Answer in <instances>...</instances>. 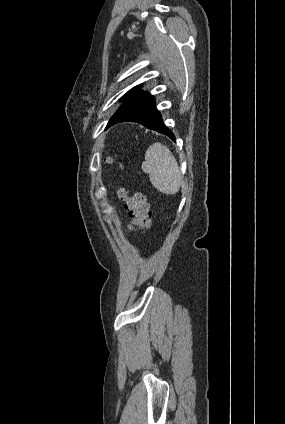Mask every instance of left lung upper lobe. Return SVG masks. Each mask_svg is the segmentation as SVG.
<instances>
[{
    "label": "left lung upper lobe",
    "instance_id": "left-lung-upper-lobe-1",
    "mask_svg": "<svg viewBox=\"0 0 285 424\" xmlns=\"http://www.w3.org/2000/svg\"><path fill=\"white\" fill-rule=\"evenodd\" d=\"M139 90V86H136L134 88H132L131 90H129L123 97L122 100H125L126 98H128L129 96H131L132 94L136 93V91Z\"/></svg>",
    "mask_w": 285,
    "mask_h": 424
}]
</instances>
